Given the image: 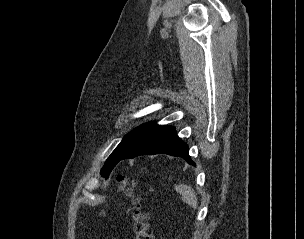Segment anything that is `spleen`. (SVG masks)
I'll use <instances>...</instances> for the list:
<instances>
[{"mask_svg": "<svg viewBox=\"0 0 304 239\" xmlns=\"http://www.w3.org/2000/svg\"><path fill=\"white\" fill-rule=\"evenodd\" d=\"M175 190L181 195L183 202L192 206L194 209H197L198 199L191 186L179 184L175 186Z\"/></svg>", "mask_w": 304, "mask_h": 239, "instance_id": "3e777b00", "label": "spleen"}]
</instances>
